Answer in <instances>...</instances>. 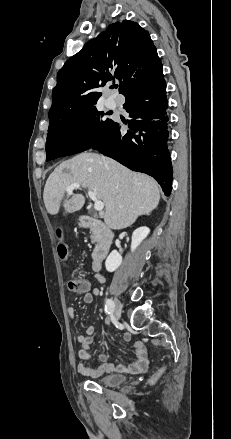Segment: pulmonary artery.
Returning <instances> with one entry per match:
<instances>
[{
  "mask_svg": "<svg viewBox=\"0 0 231 439\" xmlns=\"http://www.w3.org/2000/svg\"><path fill=\"white\" fill-rule=\"evenodd\" d=\"M106 106H107L109 109H113V108H115L116 103H115L114 100H112V99H108V100L106 101Z\"/></svg>",
  "mask_w": 231,
  "mask_h": 439,
  "instance_id": "e3ab8cb5",
  "label": "pulmonary artery"
}]
</instances>
